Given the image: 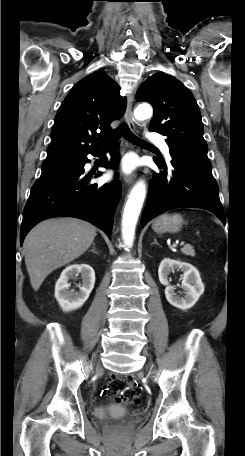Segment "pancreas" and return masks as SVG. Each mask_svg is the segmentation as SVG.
<instances>
[{
  "label": "pancreas",
  "mask_w": 245,
  "mask_h": 456,
  "mask_svg": "<svg viewBox=\"0 0 245 456\" xmlns=\"http://www.w3.org/2000/svg\"><path fill=\"white\" fill-rule=\"evenodd\" d=\"M181 252L187 256L194 257L195 256V250L191 245H185L182 249Z\"/></svg>",
  "instance_id": "pancreas-1"
}]
</instances>
